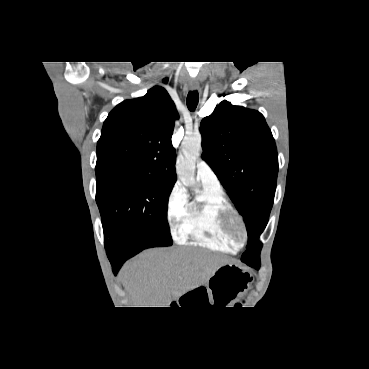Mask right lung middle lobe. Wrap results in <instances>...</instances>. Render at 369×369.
<instances>
[{
    "mask_svg": "<svg viewBox=\"0 0 369 369\" xmlns=\"http://www.w3.org/2000/svg\"><path fill=\"white\" fill-rule=\"evenodd\" d=\"M95 171L96 202L106 248L127 243L142 251L173 244L167 207L174 184L131 170L100 168Z\"/></svg>",
    "mask_w": 369,
    "mask_h": 369,
    "instance_id": "dd1d6c3e",
    "label": "right lung middle lobe"
}]
</instances>
